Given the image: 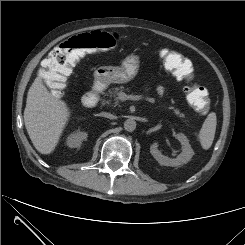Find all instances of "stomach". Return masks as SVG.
<instances>
[{"label": "stomach", "mask_w": 245, "mask_h": 245, "mask_svg": "<svg viewBox=\"0 0 245 245\" xmlns=\"http://www.w3.org/2000/svg\"><path fill=\"white\" fill-rule=\"evenodd\" d=\"M140 66V57L135 54L128 55L121 66H101L94 72L95 81L101 84L127 83L134 79Z\"/></svg>", "instance_id": "stomach-1"}]
</instances>
